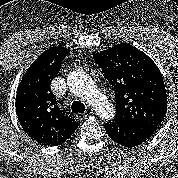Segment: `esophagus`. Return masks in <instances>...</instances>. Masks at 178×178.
I'll return each instance as SVG.
<instances>
[{"instance_id": "esophagus-1", "label": "esophagus", "mask_w": 178, "mask_h": 178, "mask_svg": "<svg viewBox=\"0 0 178 178\" xmlns=\"http://www.w3.org/2000/svg\"><path fill=\"white\" fill-rule=\"evenodd\" d=\"M93 113V110L91 109V108H89V109H87V111L84 113V114H77L76 115V117L78 118V119H80V118H82V117H86V116H88V115H90V114H92Z\"/></svg>"}]
</instances>
